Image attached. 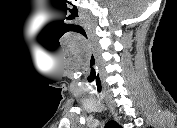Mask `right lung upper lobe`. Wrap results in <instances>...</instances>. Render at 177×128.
Instances as JSON below:
<instances>
[{"label": "right lung upper lobe", "instance_id": "cb5924a9", "mask_svg": "<svg viewBox=\"0 0 177 128\" xmlns=\"http://www.w3.org/2000/svg\"><path fill=\"white\" fill-rule=\"evenodd\" d=\"M106 127L107 128H121V126L118 123H116L115 121H109L106 124Z\"/></svg>", "mask_w": 177, "mask_h": 128}]
</instances>
